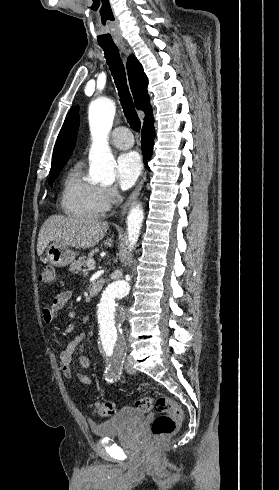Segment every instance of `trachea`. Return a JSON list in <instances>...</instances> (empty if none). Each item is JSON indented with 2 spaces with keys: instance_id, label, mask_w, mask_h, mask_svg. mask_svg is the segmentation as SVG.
<instances>
[{
  "instance_id": "obj_1",
  "label": "trachea",
  "mask_w": 279,
  "mask_h": 490,
  "mask_svg": "<svg viewBox=\"0 0 279 490\" xmlns=\"http://www.w3.org/2000/svg\"><path fill=\"white\" fill-rule=\"evenodd\" d=\"M105 53V58L111 70L112 76L118 88L120 101L130 127L139 132L141 127L140 119L134 109L132 99L127 87L125 70L120 58L118 48L102 47Z\"/></svg>"
}]
</instances>
